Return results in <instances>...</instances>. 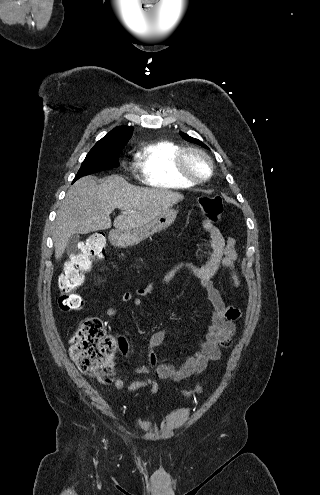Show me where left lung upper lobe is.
<instances>
[{"mask_svg": "<svg viewBox=\"0 0 320 495\" xmlns=\"http://www.w3.org/2000/svg\"><path fill=\"white\" fill-rule=\"evenodd\" d=\"M180 134H181V136H182L185 140H187V141H189V142H192V143H195V144H198V145H200V146H202V147L208 148V147H207L204 143H202L200 140L195 139V138H192V137H190V136L186 135V134H185V133H183V132H181Z\"/></svg>", "mask_w": 320, "mask_h": 495, "instance_id": "left-lung-upper-lobe-1", "label": "left lung upper lobe"}]
</instances>
